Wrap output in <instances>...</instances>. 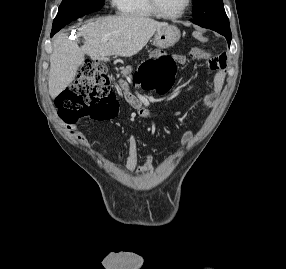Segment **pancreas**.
I'll use <instances>...</instances> for the list:
<instances>
[{"mask_svg":"<svg viewBox=\"0 0 286 269\" xmlns=\"http://www.w3.org/2000/svg\"><path fill=\"white\" fill-rule=\"evenodd\" d=\"M131 72H132V68L130 66L126 68H121V73L123 76L129 75ZM119 83L123 88L128 89V85L124 80H119ZM125 93L128 94V91L126 90Z\"/></svg>","mask_w":286,"mask_h":269,"instance_id":"1","label":"pancreas"}]
</instances>
